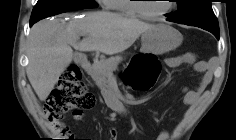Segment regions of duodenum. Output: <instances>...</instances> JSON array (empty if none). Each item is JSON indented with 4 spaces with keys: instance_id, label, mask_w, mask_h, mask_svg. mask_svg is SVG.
<instances>
[{
    "instance_id": "410a0bca",
    "label": "duodenum",
    "mask_w": 236,
    "mask_h": 140,
    "mask_svg": "<svg viewBox=\"0 0 236 140\" xmlns=\"http://www.w3.org/2000/svg\"><path fill=\"white\" fill-rule=\"evenodd\" d=\"M77 62L87 71L89 72L91 69V64L88 61L87 58H85L83 55H77L76 57ZM118 111L123 112L124 111V107L123 106H116V108Z\"/></svg>"
}]
</instances>
